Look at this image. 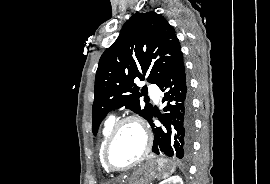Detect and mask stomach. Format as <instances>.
I'll return each mask as SVG.
<instances>
[{"mask_svg": "<svg viewBox=\"0 0 270 184\" xmlns=\"http://www.w3.org/2000/svg\"><path fill=\"white\" fill-rule=\"evenodd\" d=\"M174 170L175 164L172 161L148 160L131 174L125 176L118 184H150L153 179L164 178Z\"/></svg>", "mask_w": 270, "mask_h": 184, "instance_id": "obj_1", "label": "stomach"}]
</instances>
